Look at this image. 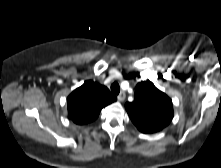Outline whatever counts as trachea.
<instances>
[{
	"mask_svg": "<svg viewBox=\"0 0 221 168\" xmlns=\"http://www.w3.org/2000/svg\"><path fill=\"white\" fill-rule=\"evenodd\" d=\"M111 91H112L114 94H116V95L119 94V92H120V86H119V84H118L117 82H114V83L111 85Z\"/></svg>",
	"mask_w": 221,
	"mask_h": 168,
	"instance_id": "trachea-1",
	"label": "trachea"
}]
</instances>
